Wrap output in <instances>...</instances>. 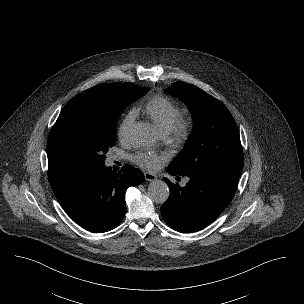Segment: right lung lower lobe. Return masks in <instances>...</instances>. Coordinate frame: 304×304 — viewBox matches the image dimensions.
<instances>
[{"instance_id": "1", "label": "right lung lower lobe", "mask_w": 304, "mask_h": 304, "mask_svg": "<svg viewBox=\"0 0 304 304\" xmlns=\"http://www.w3.org/2000/svg\"><path fill=\"white\" fill-rule=\"evenodd\" d=\"M143 181V172L133 166L125 165L117 174L102 165L86 170L54 194L73 221L86 230L102 233L123 219L127 188Z\"/></svg>"}]
</instances>
